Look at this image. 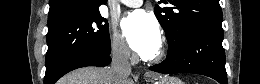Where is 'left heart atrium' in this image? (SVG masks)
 I'll list each match as a JSON object with an SVG mask.
<instances>
[{"label": "left heart atrium", "instance_id": "left-heart-atrium-1", "mask_svg": "<svg viewBox=\"0 0 260 84\" xmlns=\"http://www.w3.org/2000/svg\"><path fill=\"white\" fill-rule=\"evenodd\" d=\"M124 37L141 57L155 55L161 45V31L157 21L144 10H135L121 23Z\"/></svg>", "mask_w": 260, "mask_h": 84}]
</instances>
